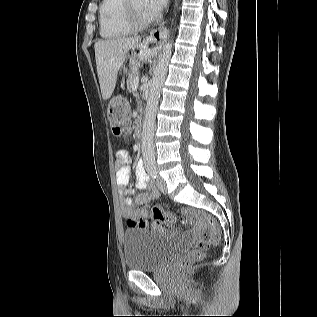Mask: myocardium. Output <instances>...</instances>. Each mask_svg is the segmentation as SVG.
Returning a JSON list of instances; mask_svg holds the SVG:
<instances>
[{"instance_id":"myocardium-1","label":"myocardium","mask_w":317,"mask_h":317,"mask_svg":"<svg viewBox=\"0 0 317 317\" xmlns=\"http://www.w3.org/2000/svg\"><path fill=\"white\" fill-rule=\"evenodd\" d=\"M123 13L127 25L134 31H140L148 28L152 19L142 20L138 17L132 4V0H124Z\"/></svg>"}]
</instances>
